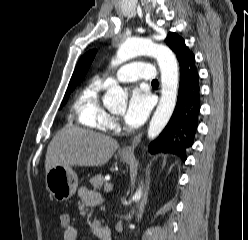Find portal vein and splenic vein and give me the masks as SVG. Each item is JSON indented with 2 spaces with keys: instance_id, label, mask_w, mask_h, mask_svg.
<instances>
[{
  "instance_id": "1",
  "label": "portal vein and splenic vein",
  "mask_w": 248,
  "mask_h": 240,
  "mask_svg": "<svg viewBox=\"0 0 248 240\" xmlns=\"http://www.w3.org/2000/svg\"><path fill=\"white\" fill-rule=\"evenodd\" d=\"M112 188H113V185L109 183V184H106V185H105L104 190H105L106 192H109V191L112 190Z\"/></svg>"
}]
</instances>
